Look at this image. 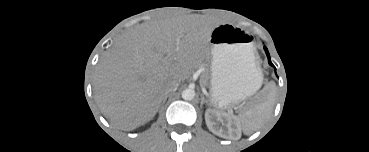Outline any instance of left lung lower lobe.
<instances>
[{
    "label": "left lung lower lobe",
    "instance_id": "0a47b994",
    "mask_svg": "<svg viewBox=\"0 0 369 152\" xmlns=\"http://www.w3.org/2000/svg\"><path fill=\"white\" fill-rule=\"evenodd\" d=\"M264 49H265V52H266V54H267L269 64H270L271 66H273V67H274V65L271 63L270 55H269V52H268L267 48H266V47H264ZM274 68H275V67H274Z\"/></svg>",
    "mask_w": 369,
    "mask_h": 152
}]
</instances>
